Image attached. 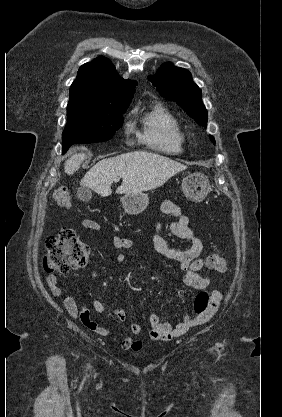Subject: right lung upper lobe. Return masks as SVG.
I'll use <instances>...</instances> for the list:
<instances>
[{"mask_svg": "<svg viewBox=\"0 0 282 417\" xmlns=\"http://www.w3.org/2000/svg\"><path fill=\"white\" fill-rule=\"evenodd\" d=\"M136 84L121 78L111 61L100 56L80 67L70 96L133 95Z\"/></svg>", "mask_w": 282, "mask_h": 417, "instance_id": "right-lung-upper-lobe-1", "label": "right lung upper lobe"}]
</instances>
